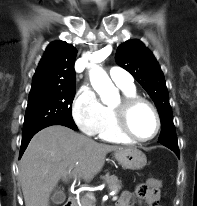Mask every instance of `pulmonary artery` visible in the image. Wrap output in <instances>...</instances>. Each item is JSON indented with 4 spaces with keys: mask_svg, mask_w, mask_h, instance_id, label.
<instances>
[{
    "mask_svg": "<svg viewBox=\"0 0 197 206\" xmlns=\"http://www.w3.org/2000/svg\"><path fill=\"white\" fill-rule=\"evenodd\" d=\"M111 80L120 86H133V78L131 75L120 67H112L109 71Z\"/></svg>",
    "mask_w": 197,
    "mask_h": 206,
    "instance_id": "pulmonary-artery-1",
    "label": "pulmonary artery"
}]
</instances>
